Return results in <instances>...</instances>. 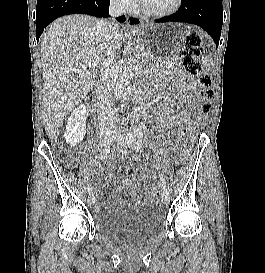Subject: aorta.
<instances>
[{
    "instance_id": "1",
    "label": "aorta",
    "mask_w": 265,
    "mask_h": 273,
    "mask_svg": "<svg viewBox=\"0 0 265 273\" xmlns=\"http://www.w3.org/2000/svg\"><path fill=\"white\" fill-rule=\"evenodd\" d=\"M133 71H134V68L132 64H128L124 68L120 79L115 84L114 95L116 97L120 96L124 92L127 85L130 83L131 79L134 76Z\"/></svg>"
}]
</instances>
